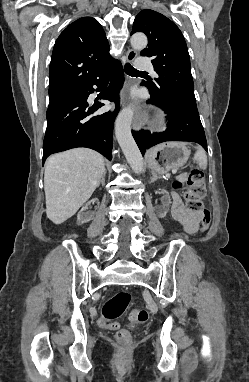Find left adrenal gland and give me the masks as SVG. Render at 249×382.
<instances>
[{"instance_id":"left-adrenal-gland-1","label":"left adrenal gland","mask_w":249,"mask_h":382,"mask_svg":"<svg viewBox=\"0 0 249 382\" xmlns=\"http://www.w3.org/2000/svg\"><path fill=\"white\" fill-rule=\"evenodd\" d=\"M157 179H159V177L156 175V173L152 172L151 182H154Z\"/></svg>"}]
</instances>
